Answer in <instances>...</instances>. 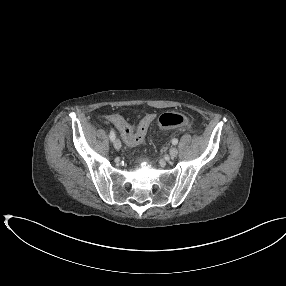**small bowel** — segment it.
Segmentation results:
<instances>
[{"mask_svg":"<svg viewBox=\"0 0 286 286\" xmlns=\"http://www.w3.org/2000/svg\"><path fill=\"white\" fill-rule=\"evenodd\" d=\"M154 119H155L154 114H148L141 119L140 123L143 121H147L150 125ZM106 120L116 126V128L119 130L126 143L127 139L133 136L134 134L133 126L130 123H128L121 115L111 114L106 117Z\"/></svg>","mask_w":286,"mask_h":286,"instance_id":"obj_1","label":"small bowel"}]
</instances>
